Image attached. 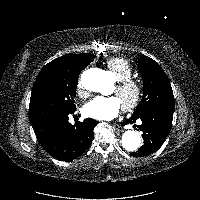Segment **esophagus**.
<instances>
[{
    "mask_svg": "<svg viewBox=\"0 0 200 200\" xmlns=\"http://www.w3.org/2000/svg\"><path fill=\"white\" fill-rule=\"evenodd\" d=\"M113 128H114V130L116 131V132H120V131H123L122 130V127L121 126H119V125H113Z\"/></svg>",
    "mask_w": 200,
    "mask_h": 200,
    "instance_id": "1",
    "label": "esophagus"
}]
</instances>
